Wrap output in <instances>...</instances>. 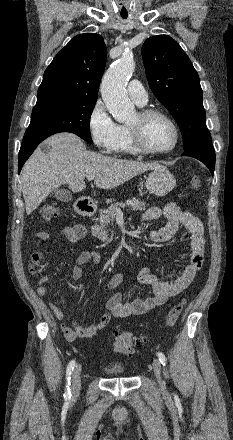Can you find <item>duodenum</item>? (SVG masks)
Returning a JSON list of instances; mask_svg holds the SVG:
<instances>
[{
    "label": "duodenum",
    "instance_id": "obj_1",
    "mask_svg": "<svg viewBox=\"0 0 233 440\" xmlns=\"http://www.w3.org/2000/svg\"><path fill=\"white\" fill-rule=\"evenodd\" d=\"M77 213L80 216L88 217L94 214L95 209L87 200L79 201L76 205Z\"/></svg>",
    "mask_w": 233,
    "mask_h": 440
}]
</instances>
